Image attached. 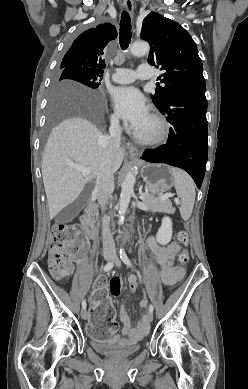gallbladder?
<instances>
[{
  "label": "gallbladder",
  "instance_id": "bac80fb5",
  "mask_svg": "<svg viewBox=\"0 0 248 389\" xmlns=\"http://www.w3.org/2000/svg\"><path fill=\"white\" fill-rule=\"evenodd\" d=\"M87 196H88V190H87V188H86V189L82 192L81 196L77 199V201H76L75 203H73L69 208H67V209L65 210V212L69 211V210L72 209V208L78 207L83 201L86 200ZM63 214H64V212L61 213V214L58 216V220L63 219Z\"/></svg>",
  "mask_w": 248,
  "mask_h": 389
}]
</instances>
